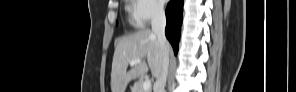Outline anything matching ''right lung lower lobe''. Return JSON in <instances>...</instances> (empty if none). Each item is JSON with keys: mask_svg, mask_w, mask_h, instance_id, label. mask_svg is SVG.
Here are the masks:
<instances>
[{"mask_svg": "<svg viewBox=\"0 0 296 92\" xmlns=\"http://www.w3.org/2000/svg\"><path fill=\"white\" fill-rule=\"evenodd\" d=\"M183 0H172L166 8L167 25L165 35L173 46L175 54L178 52L180 31L182 24Z\"/></svg>", "mask_w": 296, "mask_h": 92, "instance_id": "right-lung-lower-lobe-1", "label": "right lung lower lobe"}]
</instances>
